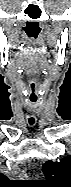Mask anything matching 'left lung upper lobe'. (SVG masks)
Wrapping results in <instances>:
<instances>
[{
	"label": "left lung upper lobe",
	"instance_id": "left-lung-upper-lobe-1",
	"mask_svg": "<svg viewBox=\"0 0 71 187\" xmlns=\"http://www.w3.org/2000/svg\"><path fill=\"white\" fill-rule=\"evenodd\" d=\"M46 180L40 181L45 187H71V158L60 162L47 161L43 165Z\"/></svg>",
	"mask_w": 71,
	"mask_h": 187
}]
</instances>
